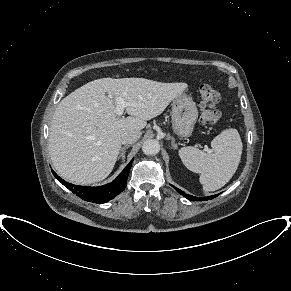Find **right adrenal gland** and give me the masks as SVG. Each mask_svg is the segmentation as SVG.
Here are the masks:
<instances>
[{
  "label": "right adrenal gland",
  "mask_w": 291,
  "mask_h": 291,
  "mask_svg": "<svg viewBox=\"0 0 291 291\" xmlns=\"http://www.w3.org/2000/svg\"><path fill=\"white\" fill-rule=\"evenodd\" d=\"M130 145H125L121 148V151H120V154H119V157L118 159L122 158V160L125 159V153H126V149L129 148Z\"/></svg>",
  "instance_id": "1"
}]
</instances>
